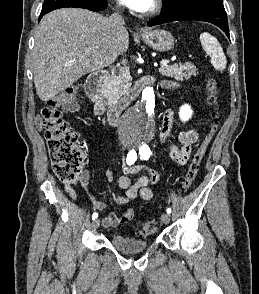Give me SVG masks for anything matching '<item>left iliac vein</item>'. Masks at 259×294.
<instances>
[{"label":"left iliac vein","mask_w":259,"mask_h":294,"mask_svg":"<svg viewBox=\"0 0 259 294\" xmlns=\"http://www.w3.org/2000/svg\"><path fill=\"white\" fill-rule=\"evenodd\" d=\"M161 220L164 224H169L170 222V215L168 213H163L161 215Z\"/></svg>","instance_id":"obj_1"}]
</instances>
